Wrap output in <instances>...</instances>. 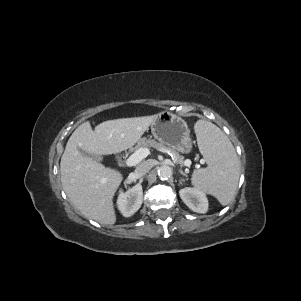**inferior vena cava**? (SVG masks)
I'll return each instance as SVG.
<instances>
[{
	"label": "inferior vena cava",
	"mask_w": 301,
	"mask_h": 301,
	"mask_svg": "<svg viewBox=\"0 0 301 301\" xmlns=\"http://www.w3.org/2000/svg\"><path fill=\"white\" fill-rule=\"evenodd\" d=\"M151 169V164L148 161L142 162L140 163L136 169H135V173L138 176H143L145 175L149 170Z\"/></svg>",
	"instance_id": "obj_1"
}]
</instances>
